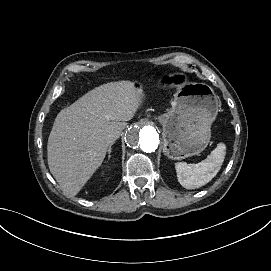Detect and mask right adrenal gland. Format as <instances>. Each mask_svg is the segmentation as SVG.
I'll return each instance as SVG.
<instances>
[{
	"label": "right adrenal gland",
	"instance_id": "right-adrenal-gland-1",
	"mask_svg": "<svg viewBox=\"0 0 271 271\" xmlns=\"http://www.w3.org/2000/svg\"><path fill=\"white\" fill-rule=\"evenodd\" d=\"M113 144H114V142H111V143L109 144V147H108V150H107V152H108V154H109V157H110V154H111V147H112Z\"/></svg>",
	"mask_w": 271,
	"mask_h": 271
}]
</instances>
